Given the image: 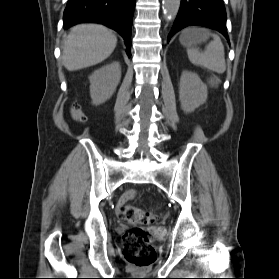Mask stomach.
Wrapping results in <instances>:
<instances>
[{
  "instance_id": "1",
  "label": "stomach",
  "mask_w": 279,
  "mask_h": 279,
  "mask_svg": "<svg viewBox=\"0 0 279 279\" xmlns=\"http://www.w3.org/2000/svg\"><path fill=\"white\" fill-rule=\"evenodd\" d=\"M208 33L201 29L190 28L182 32L180 36V42L186 46L190 47L192 45L200 44L208 38Z\"/></svg>"
}]
</instances>
